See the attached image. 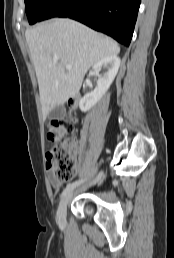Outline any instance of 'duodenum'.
<instances>
[{
	"instance_id": "obj_1",
	"label": "duodenum",
	"mask_w": 174,
	"mask_h": 258,
	"mask_svg": "<svg viewBox=\"0 0 174 258\" xmlns=\"http://www.w3.org/2000/svg\"><path fill=\"white\" fill-rule=\"evenodd\" d=\"M69 104H70L71 107H74L75 104H76L75 99L74 98L70 99Z\"/></svg>"
}]
</instances>
